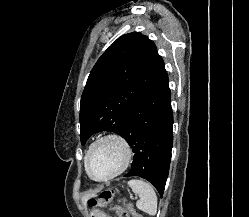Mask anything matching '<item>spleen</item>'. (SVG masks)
I'll return each instance as SVG.
<instances>
[{"mask_svg": "<svg viewBox=\"0 0 249 217\" xmlns=\"http://www.w3.org/2000/svg\"><path fill=\"white\" fill-rule=\"evenodd\" d=\"M128 184L132 191L139 195L140 199L136 206L147 214L154 216L157 212V195L153 186L141 179H132Z\"/></svg>", "mask_w": 249, "mask_h": 217, "instance_id": "obj_1", "label": "spleen"}]
</instances>
